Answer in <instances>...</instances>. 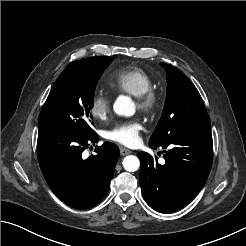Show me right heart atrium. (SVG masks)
Returning a JSON list of instances; mask_svg holds the SVG:
<instances>
[{"mask_svg":"<svg viewBox=\"0 0 246 246\" xmlns=\"http://www.w3.org/2000/svg\"><path fill=\"white\" fill-rule=\"evenodd\" d=\"M111 111L110 97L103 93H96L90 103V114L97 120H105Z\"/></svg>","mask_w":246,"mask_h":246,"instance_id":"obj_1","label":"right heart atrium"}]
</instances>
